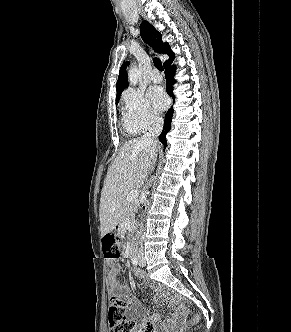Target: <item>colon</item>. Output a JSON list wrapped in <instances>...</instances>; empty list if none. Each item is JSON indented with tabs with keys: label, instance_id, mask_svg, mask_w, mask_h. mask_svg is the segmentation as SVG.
Returning <instances> with one entry per match:
<instances>
[{
	"label": "colon",
	"instance_id": "obj_1",
	"mask_svg": "<svg viewBox=\"0 0 291 332\" xmlns=\"http://www.w3.org/2000/svg\"><path fill=\"white\" fill-rule=\"evenodd\" d=\"M103 250L105 258H111L109 260L114 261L120 256L121 239L119 236L113 233H109L103 236L102 239ZM172 302L177 305L178 308L187 311L188 307L176 299H172ZM125 308L126 299L120 295H115L110 298V307L108 311V321L110 326V332H135V326L125 320ZM140 332H155L153 324H145Z\"/></svg>",
	"mask_w": 291,
	"mask_h": 332
}]
</instances>
